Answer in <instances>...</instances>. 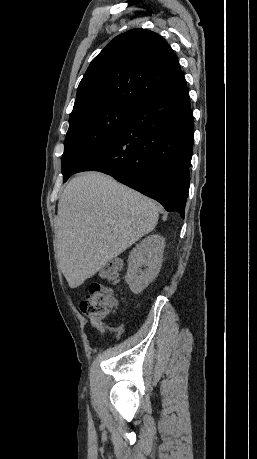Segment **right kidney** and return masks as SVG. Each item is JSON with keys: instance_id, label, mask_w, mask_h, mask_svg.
Instances as JSON below:
<instances>
[{"instance_id": "ca27d5eb", "label": "right kidney", "mask_w": 257, "mask_h": 459, "mask_svg": "<svg viewBox=\"0 0 257 459\" xmlns=\"http://www.w3.org/2000/svg\"><path fill=\"white\" fill-rule=\"evenodd\" d=\"M164 247L163 237L153 234L143 239L130 252L125 282L134 294L143 291L158 275ZM142 267L145 269L142 270Z\"/></svg>"}]
</instances>
